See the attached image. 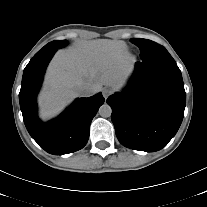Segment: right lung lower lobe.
<instances>
[{
    "label": "right lung lower lobe",
    "instance_id": "98d812e1",
    "mask_svg": "<svg viewBox=\"0 0 207 207\" xmlns=\"http://www.w3.org/2000/svg\"><path fill=\"white\" fill-rule=\"evenodd\" d=\"M56 51L35 55L24 69L19 93L20 108L31 137L53 155L73 153L82 149L89 138L91 121L104 103L101 93L77 98L59 117L48 123L37 115L36 97L48 63Z\"/></svg>",
    "mask_w": 207,
    "mask_h": 207
}]
</instances>
